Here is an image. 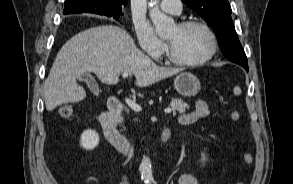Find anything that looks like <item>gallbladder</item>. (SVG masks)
Returning a JSON list of instances; mask_svg holds the SVG:
<instances>
[{
  "label": "gallbladder",
  "instance_id": "bac80fb5",
  "mask_svg": "<svg viewBox=\"0 0 293 184\" xmlns=\"http://www.w3.org/2000/svg\"><path fill=\"white\" fill-rule=\"evenodd\" d=\"M79 80L85 81L86 83H92L93 78L90 74L85 73L79 77Z\"/></svg>",
  "mask_w": 293,
  "mask_h": 184
}]
</instances>
